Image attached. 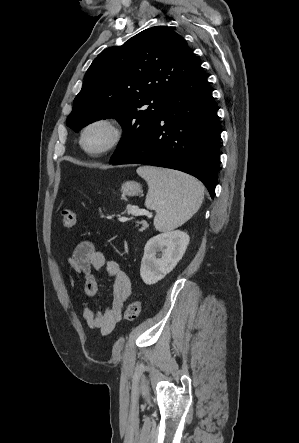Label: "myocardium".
Listing matches in <instances>:
<instances>
[{
	"label": "myocardium",
	"instance_id": "1",
	"mask_svg": "<svg viewBox=\"0 0 299 443\" xmlns=\"http://www.w3.org/2000/svg\"><path fill=\"white\" fill-rule=\"evenodd\" d=\"M101 125L106 126L111 131V139L101 149L98 150L89 149L85 144L86 135L90 129ZM125 136H126V128L121 121H119L116 118L108 116L99 117L88 122L82 129L80 135V146L86 154L92 157H100L117 149L124 141Z\"/></svg>",
	"mask_w": 299,
	"mask_h": 443
}]
</instances>
